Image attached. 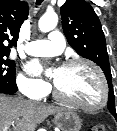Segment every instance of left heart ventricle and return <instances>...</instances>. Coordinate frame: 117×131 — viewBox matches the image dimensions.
<instances>
[{
    "mask_svg": "<svg viewBox=\"0 0 117 131\" xmlns=\"http://www.w3.org/2000/svg\"><path fill=\"white\" fill-rule=\"evenodd\" d=\"M58 88L67 97L87 106L97 105L102 97V87L96 73L86 65L60 67L53 73Z\"/></svg>",
    "mask_w": 117,
    "mask_h": 131,
    "instance_id": "1",
    "label": "left heart ventricle"
}]
</instances>
